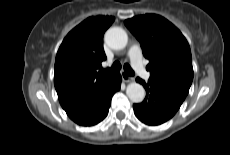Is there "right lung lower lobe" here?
Masks as SVG:
<instances>
[{
  "label": "right lung lower lobe",
  "mask_w": 230,
  "mask_h": 155,
  "mask_svg": "<svg viewBox=\"0 0 230 155\" xmlns=\"http://www.w3.org/2000/svg\"><path fill=\"white\" fill-rule=\"evenodd\" d=\"M121 80V75L116 73L112 81L93 99L65 110L67 115L82 126H92L99 123L107 116L112 96L120 90Z\"/></svg>",
  "instance_id": "obj_1"
}]
</instances>
